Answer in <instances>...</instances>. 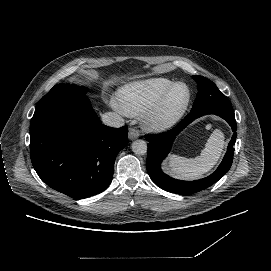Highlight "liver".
Segmentation results:
<instances>
[{
  "label": "liver",
  "mask_w": 271,
  "mask_h": 271,
  "mask_svg": "<svg viewBox=\"0 0 271 271\" xmlns=\"http://www.w3.org/2000/svg\"><path fill=\"white\" fill-rule=\"evenodd\" d=\"M112 80L111 79H107L106 81H105V83H109V82H111Z\"/></svg>",
  "instance_id": "obj_1"
}]
</instances>
